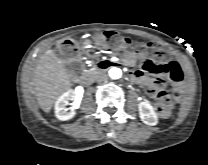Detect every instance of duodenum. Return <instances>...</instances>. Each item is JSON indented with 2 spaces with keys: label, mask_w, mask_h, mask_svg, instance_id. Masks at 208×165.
<instances>
[{
  "label": "duodenum",
  "mask_w": 208,
  "mask_h": 165,
  "mask_svg": "<svg viewBox=\"0 0 208 165\" xmlns=\"http://www.w3.org/2000/svg\"><path fill=\"white\" fill-rule=\"evenodd\" d=\"M109 67V63L101 62L96 66V70L92 74H86L79 77V82L83 85H88L93 81L94 76L102 70H106Z\"/></svg>",
  "instance_id": "410a0bca"
}]
</instances>
